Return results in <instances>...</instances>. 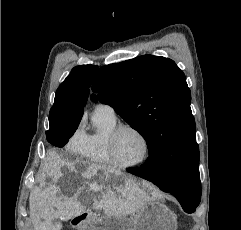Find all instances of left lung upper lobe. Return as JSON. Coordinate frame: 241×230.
Here are the masks:
<instances>
[{"label":"left lung upper lobe","mask_w":241,"mask_h":230,"mask_svg":"<svg viewBox=\"0 0 241 230\" xmlns=\"http://www.w3.org/2000/svg\"><path fill=\"white\" fill-rule=\"evenodd\" d=\"M92 90L145 138L149 156L159 152L167 158L171 189L180 188L199 169L190 89L174 61L143 55L106 65Z\"/></svg>","instance_id":"obj_1"}]
</instances>
